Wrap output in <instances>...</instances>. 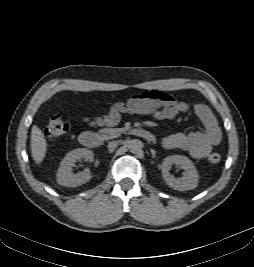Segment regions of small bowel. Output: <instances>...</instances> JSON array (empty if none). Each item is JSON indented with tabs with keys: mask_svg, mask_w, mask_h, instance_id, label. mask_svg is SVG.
Instances as JSON below:
<instances>
[{
	"mask_svg": "<svg viewBox=\"0 0 254 267\" xmlns=\"http://www.w3.org/2000/svg\"><path fill=\"white\" fill-rule=\"evenodd\" d=\"M187 102L178 100L162 91H147L134 95L123 102L113 104L109 112L101 117L88 118L91 126H115L121 115L149 114L158 120L173 119L181 113L189 111ZM193 112L202 123V128L189 133H174L162 140L166 150H183L195 159L205 158L221 140V130L212 111L202 103L192 107Z\"/></svg>",
	"mask_w": 254,
	"mask_h": 267,
	"instance_id": "1",
	"label": "small bowel"
}]
</instances>
